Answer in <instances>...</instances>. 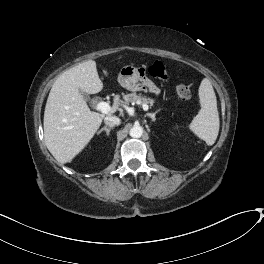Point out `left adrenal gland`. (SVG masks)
<instances>
[{
	"label": "left adrenal gland",
	"mask_w": 264,
	"mask_h": 264,
	"mask_svg": "<svg viewBox=\"0 0 264 264\" xmlns=\"http://www.w3.org/2000/svg\"><path fill=\"white\" fill-rule=\"evenodd\" d=\"M158 112L159 110L155 111L154 113H147L145 116H148L152 119V121H155L156 120L155 116Z\"/></svg>",
	"instance_id": "1"
}]
</instances>
